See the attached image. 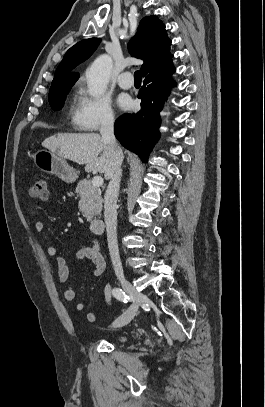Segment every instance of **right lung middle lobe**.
I'll list each match as a JSON object with an SVG mask.
<instances>
[{
	"label": "right lung middle lobe",
	"mask_w": 265,
	"mask_h": 407,
	"mask_svg": "<svg viewBox=\"0 0 265 407\" xmlns=\"http://www.w3.org/2000/svg\"><path fill=\"white\" fill-rule=\"evenodd\" d=\"M74 83H60L51 86L49 91V103L52 109L60 110L65 101V97Z\"/></svg>",
	"instance_id": "dd1d6c3e"
}]
</instances>
